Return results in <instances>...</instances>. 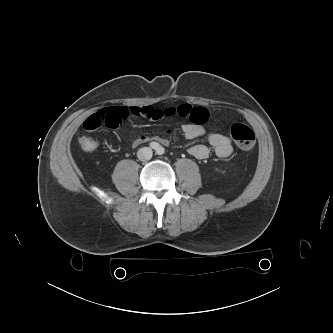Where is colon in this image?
Segmentation results:
<instances>
[{"instance_id": "1", "label": "colon", "mask_w": 333, "mask_h": 333, "mask_svg": "<svg viewBox=\"0 0 333 333\" xmlns=\"http://www.w3.org/2000/svg\"><path fill=\"white\" fill-rule=\"evenodd\" d=\"M230 136L242 150H251L256 143L254 131L245 124L234 123L230 127ZM79 146L86 152L94 151L97 142L90 136H81L78 139Z\"/></svg>"}]
</instances>
